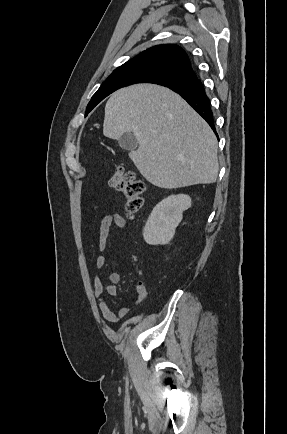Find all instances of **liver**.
<instances>
[{"mask_svg": "<svg viewBox=\"0 0 287 434\" xmlns=\"http://www.w3.org/2000/svg\"><path fill=\"white\" fill-rule=\"evenodd\" d=\"M132 132L139 148L130 158L159 188L214 183L218 142L206 121L168 88L138 84L113 93L105 106L103 134L119 139Z\"/></svg>", "mask_w": 287, "mask_h": 434, "instance_id": "obj_1", "label": "liver"}]
</instances>
